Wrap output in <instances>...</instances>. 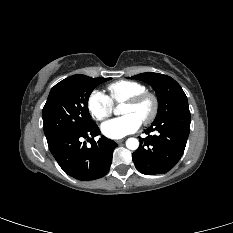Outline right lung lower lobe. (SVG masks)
Listing matches in <instances>:
<instances>
[{"label": "right lung lower lobe", "mask_w": 233, "mask_h": 233, "mask_svg": "<svg viewBox=\"0 0 233 233\" xmlns=\"http://www.w3.org/2000/svg\"><path fill=\"white\" fill-rule=\"evenodd\" d=\"M100 135L98 126L93 124L82 131H71L47 139L49 149L60 165L70 176L80 180H94L103 177L109 171L113 150L117 144ZM84 139L91 143L87 146Z\"/></svg>", "instance_id": "1"}]
</instances>
